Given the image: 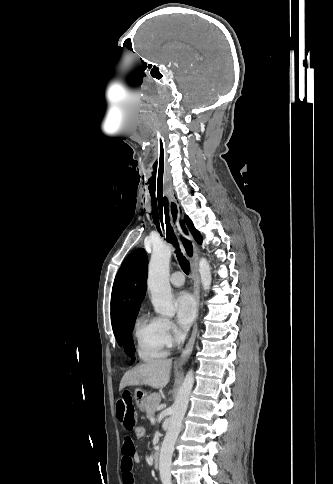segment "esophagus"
<instances>
[{
  "instance_id": "34e87169",
  "label": "esophagus",
  "mask_w": 333,
  "mask_h": 484,
  "mask_svg": "<svg viewBox=\"0 0 333 484\" xmlns=\"http://www.w3.org/2000/svg\"><path fill=\"white\" fill-rule=\"evenodd\" d=\"M169 201V214L171 218L172 225L174 230L179 238L180 244L182 246L183 252L186 257L189 259L191 264V276L193 279L194 284V297L196 300L197 305V317L199 314V304H200V282H199V274H198V251L196 244L194 243L193 239L184 233L180 225V219L182 217V212L180 210L179 204L174 197V195H168ZM198 331L197 321H195L192 334L183 349L180 357L176 360V365H183L185 364L193 350V346L195 343L196 335Z\"/></svg>"
}]
</instances>
